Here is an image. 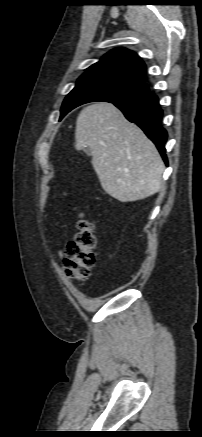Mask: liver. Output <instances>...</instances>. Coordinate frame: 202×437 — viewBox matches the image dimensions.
<instances>
[{"mask_svg": "<svg viewBox=\"0 0 202 437\" xmlns=\"http://www.w3.org/2000/svg\"><path fill=\"white\" fill-rule=\"evenodd\" d=\"M75 148L89 147L103 190L120 202H134L157 193L163 160L151 140L113 104L97 102L77 117Z\"/></svg>", "mask_w": 202, "mask_h": 437, "instance_id": "obj_1", "label": "liver"}]
</instances>
